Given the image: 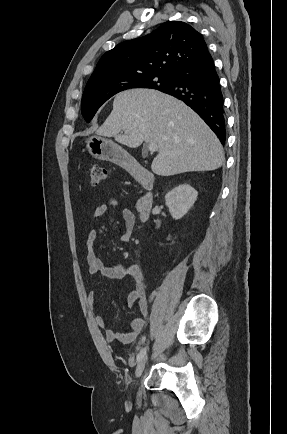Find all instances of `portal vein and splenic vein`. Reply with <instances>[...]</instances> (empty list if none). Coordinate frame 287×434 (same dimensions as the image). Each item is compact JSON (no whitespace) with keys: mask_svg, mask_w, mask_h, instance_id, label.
<instances>
[{"mask_svg":"<svg viewBox=\"0 0 287 434\" xmlns=\"http://www.w3.org/2000/svg\"><path fill=\"white\" fill-rule=\"evenodd\" d=\"M147 149H148V151L151 152V153H153V152H155V151H158V147H157V145L154 144V143H148V145H147Z\"/></svg>","mask_w":287,"mask_h":434,"instance_id":"obj_1","label":"portal vein and splenic vein"}]
</instances>
